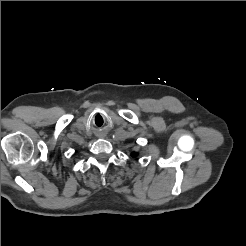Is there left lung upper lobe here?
Masks as SVG:
<instances>
[{"label": "left lung upper lobe", "mask_w": 246, "mask_h": 246, "mask_svg": "<svg viewBox=\"0 0 246 246\" xmlns=\"http://www.w3.org/2000/svg\"><path fill=\"white\" fill-rule=\"evenodd\" d=\"M132 155H133V156H136V155H137V153H132Z\"/></svg>", "instance_id": "5c2ea615"}]
</instances>
